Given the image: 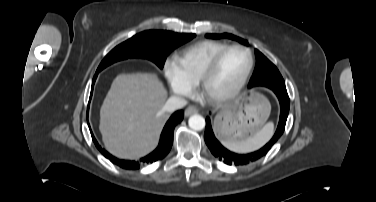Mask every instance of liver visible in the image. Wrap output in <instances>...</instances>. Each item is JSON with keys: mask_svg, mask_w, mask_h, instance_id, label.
Returning <instances> with one entry per match:
<instances>
[{"mask_svg": "<svg viewBox=\"0 0 376 202\" xmlns=\"http://www.w3.org/2000/svg\"><path fill=\"white\" fill-rule=\"evenodd\" d=\"M166 91L153 73L118 75L100 110L105 148L121 159H138L151 152L168 119L162 110Z\"/></svg>", "mask_w": 376, "mask_h": 202, "instance_id": "obj_1", "label": "liver"}]
</instances>
